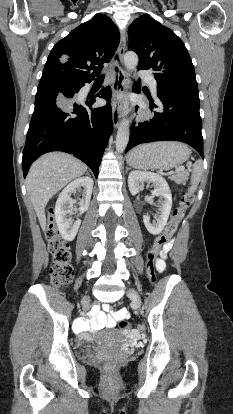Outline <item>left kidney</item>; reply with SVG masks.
I'll return each instance as SVG.
<instances>
[{
	"mask_svg": "<svg viewBox=\"0 0 233 414\" xmlns=\"http://www.w3.org/2000/svg\"><path fill=\"white\" fill-rule=\"evenodd\" d=\"M143 182L152 183L154 190L153 196H159V215L157 222L150 223V217L143 215V222L149 233L158 235L164 229L172 208V195L168 183L160 175L152 172L131 171L128 176V187L132 195H136L141 190Z\"/></svg>",
	"mask_w": 233,
	"mask_h": 414,
	"instance_id": "1",
	"label": "left kidney"
}]
</instances>
